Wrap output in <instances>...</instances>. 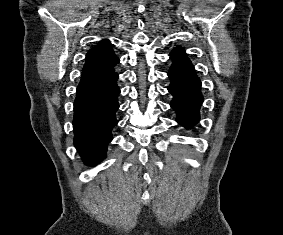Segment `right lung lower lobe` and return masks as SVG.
<instances>
[{
    "instance_id": "1",
    "label": "right lung lower lobe",
    "mask_w": 283,
    "mask_h": 235,
    "mask_svg": "<svg viewBox=\"0 0 283 235\" xmlns=\"http://www.w3.org/2000/svg\"><path fill=\"white\" fill-rule=\"evenodd\" d=\"M114 71L100 77L81 81L74 102V144L86 164L105 158L111 130L118 123L115 112L119 108Z\"/></svg>"
}]
</instances>
